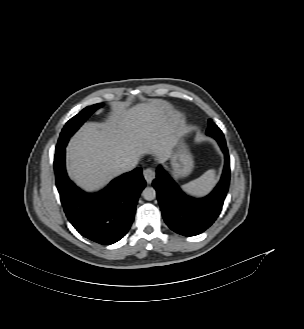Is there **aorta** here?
I'll return each mask as SVG.
<instances>
[{"label": "aorta", "mask_w": 304, "mask_h": 329, "mask_svg": "<svg viewBox=\"0 0 304 329\" xmlns=\"http://www.w3.org/2000/svg\"><path fill=\"white\" fill-rule=\"evenodd\" d=\"M142 196L147 201L154 200L156 197V191L153 187H146L142 192Z\"/></svg>", "instance_id": "1"}]
</instances>
